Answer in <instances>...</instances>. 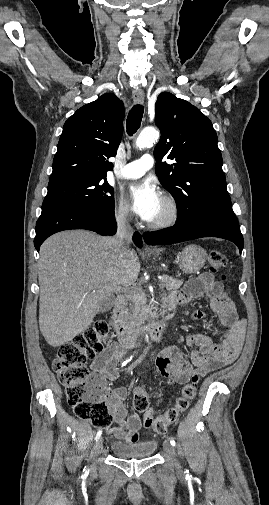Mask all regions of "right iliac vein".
I'll return each instance as SVG.
<instances>
[{
    "instance_id": "1",
    "label": "right iliac vein",
    "mask_w": 269,
    "mask_h": 505,
    "mask_svg": "<svg viewBox=\"0 0 269 505\" xmlns=\"http://www.w3.org/2000/svg\"><path fill=\"white\" fill-rule=\"evenodd\" d=\"M102 446H103V438H99L96 441V444H95L94 449H93V456H94V458L100 454V452L102 450ZM95 470H96V466L93 463L92 466H91V473H93Z\"/></svg>"
}]
</instances>
